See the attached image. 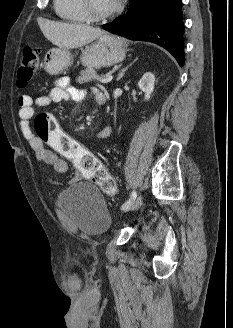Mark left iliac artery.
Wrapping results in <instances>:
<instances>
[{"mask_svg": "<svg viewBox=\"0 0 233 328\" xmlns=\"http://www.w3.org/2000/svg\"><path fill=\"white\" fill-rule=\"evenodd\" d=\"M136 196V191H133L130 198L121 206V209L126 210L127 208H129L133 201L136 199Z\"/></svg>", "mask_w": 233, "mask_h": 328, "instance_id": "left-iliac-artery-1", "label": "left iliac artery"}]
</instances>
